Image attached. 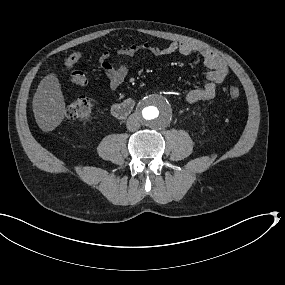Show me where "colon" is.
<instances>
[{
	"instance_id": "5ec220e1",
	"label": "colon",
	"mask_w": 285,
	"mask_h": 285,
	"mask_svg": "<svg viewBox=\"0 0 285 285\" xmlns=\"http://www.w3.org/2000/svg\"><path fill=\"white\" fill-rule=\"evenodd\" d=\"M81 57L79 51L71 53L66 59V66L70 69V81L76 85H84L87 81L85 73L76 65ZM232 99L240 96L237 87H231L228 91ZM93 99L89 96H81L73 100L67 107L66 115L73 120H86L92 114Z\"/></svg>"
}]
</instances>
